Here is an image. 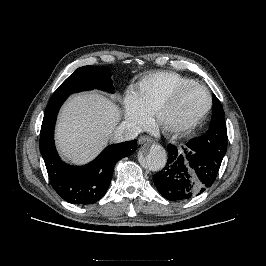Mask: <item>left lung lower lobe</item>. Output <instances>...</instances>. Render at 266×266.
<instances>
[{"label": "left lung lower lobe", "instance_id": "obj_1", "mask_svg": "<svg viewBox=\"0 0 266 266\" xmlns=\"http://www.w3.org/2000/svg\"><path fill=\"white\" fill-rule=\"evenodd\" d=\"M227 145L217 142L208 151L191 140L184 147L168 144L166 166L153 182L158 192L170 201H184L198 196L216 179Z\"/></svg>", "mask_w": 266, "mask_h": 266}]
</instances>
